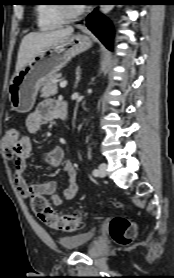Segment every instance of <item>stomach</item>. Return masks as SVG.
Here are the masks:
<instances>
[{"label": "stomach", "mask_w": 174, "mask_h": 278, "mask_svg": "<svg viewBox=\"0 0 174 278\" xmlns=\"http://www.w3.org/2000/svg\"><path fill=\"white\" fill-rule=\"evenodd\" d=\"M91 46L90 37L75 34L65 37L35 55L11 78L8 87L11 109L19 113L29 112L35 104L41 86L65 67L73 57Z\"/></svg>", "instance_id": "1"}]
</instances>
